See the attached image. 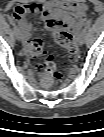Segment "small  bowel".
Here are the masks:
<instances>
[{"label":"small bowel","instance_id":"small-bowel-1","mask_svg":"<svg viewBox=\"0 0 104 137\" xmlns=\"http://www.w3.org/2000/svg\"><path fill=\"white\" fill-rule=\"evenodd\" d=\"M88 8L81 2L47 0L43 4L31 3L14 7L11 18L21 31L23 50L29 56L31 24L26 18L29 13L39 14L48 28L62 26L78 32L86 22ZM30 57V56H29Z\"/></svg>","mask_w":104,"mask_h":137}]
</instances>
